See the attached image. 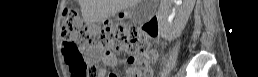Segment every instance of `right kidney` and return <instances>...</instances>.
<instances>
[{"label": "right kidney", "instance_id": "right-kidney-1", "mask_svg": "<svg viewBox=\"0 0 258 77\" xmlns=\"http://www.w3.org/2000/svg\"><path fill=\"white\" fill-rule=\"evenodd\" d=\"M185 1V0H184ZM173 2H182V0H173ZM172 2V3H173ZM195 0H190V6H188L185 11H184V19L181 23H177L175 26H174V29H173V35L174 36H177L181 31L182 29L184 28V25L192 11V8H193V4H194ZM171 3V4H172ZM171 4H164V3H161L160 7L163 8L165 10L164 14L162 15V18L164 19H167L168 18V12H169V7L171 6Z\"/></svg>", "mask_w": 258, "mask_h": 77}]
</instances>
